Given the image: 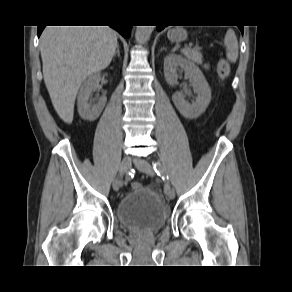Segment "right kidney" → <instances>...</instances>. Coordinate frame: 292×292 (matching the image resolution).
I'll use <instances>...</instances> for the list:
<instances>
[{"instance_id":"right-kidney-1","label":"right kidney","mask_w":292,"mask_h":292,"mask_svg":"<svg viewBox=\"0 0 292 292\" xmlns=\"http://www.w3.org/2000/svg\"><path fill=\"white\" fill-rule=\"evenodd\" d=\"M100 79L101 75L99 73H95L85 80L80 88L77 98V105L79 115L84 120H96L105 106V97L100 98L97 103H95L94 100H90L91 94L99 87Z\"/></svg>"}]
</instances>
